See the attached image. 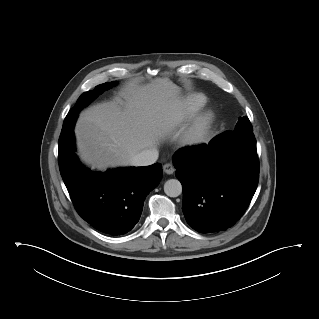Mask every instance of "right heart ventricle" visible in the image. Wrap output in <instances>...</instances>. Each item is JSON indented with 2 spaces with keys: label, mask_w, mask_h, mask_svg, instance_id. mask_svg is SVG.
Here are the masks:
<instances>
[{
  "label": "right heart ventricle",
  "mask_w": 319,
  "mask_h": 319,
  "mask_svg": "<svg viewBox=\"0 0 319 319\" xmlns=\"http://www.w3.org/2000/svg\"><path fill=\"white\" fill-rule=\"evenodd\" d=\"M207 98L203 94H192L185 98L167 122V128L178 129L194 120L206 106Z\"/></svg>",
  "instance_id": "e07e8e85"
}]
</instances>
